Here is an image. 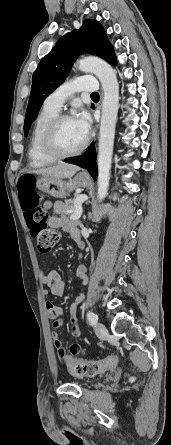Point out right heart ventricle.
<instances>
[{"label":"right heart ventricle","mask_w":171,"mask_h":445,"mask_svg":"<svg viewBox=\"0 0 171 445\" xmlns=\"http://www.w3.org/2000/svg\"><path fill=\"white\" fill-rule=\"evenodd\" d=\"M58 114V110L50 108L44 104L35 120L28 150L29 161L34 167H43L55 160L44 154L41 147V141L47 124Z\"/></svg>","instance_id":"right-heart-ventricle-1"}]
</instances>
